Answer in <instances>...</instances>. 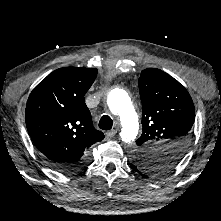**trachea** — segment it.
Instances as JSON below:
<instances>
[{"label": "trachea", "mask_w": 221, "mask_h": 221, "mask_svg": "<svg viewBox=\"0 0 221 221\" xmlns=\"http://www.w3.org/2000/svg\"><path fill=\"white\" fill-rule=\"evenodd\" d=\"M112 126V119L108 115H103L99 121V128L102 130H110Z\"/></svg>", "instance_id": "trachea-1"}]
</instances>
